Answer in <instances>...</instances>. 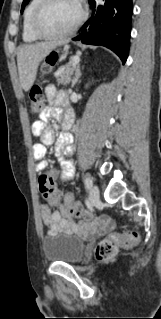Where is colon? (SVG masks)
I'll list each match as a JSON object with an SVG mask.
<instances>
[{
  "instance_id": "colon-1",
  "label": "colon",
  "mask_w": 161,
  "mask_h": 319,
  "mask_svg": "<svg viewBox=\"0 0 161 319\" xmlns=\"http://www.w3.org/2000/svg\"><path fill=\"white\" fill-rule=\"evenodd\" d=\"M56 54L49 55L42 65L44 71L50 70L57 63ZM30 109L33 114H42L44 106V96L42 87L39 83L31 86L29 91ZM53 177L49 174L44 175L40 179L41 195L45 201H49L54 205H60L63 201V194L53 189ZM67 212L69 216L81 217L89 219L91 215L85 206L78 202H69L67 204ZM139 244V235L136 232L128 233H112L107 238L101 240L96 247V256L100 260H110L115 257L120 248H129Z\"/></svg>"
}]
</instances>
